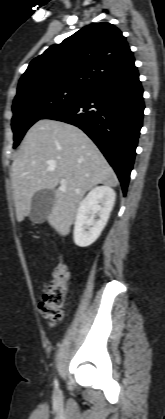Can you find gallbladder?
Segmentation results:
<instances>
[{"instance_id":"obj_1","label":"gallbladder","mask_w":165,"mask_h":419,"mask_svg":"<svg viewBox=\"0 0 165 419\" xmlns=\"http://www.w3.org/2000/svg\"><path fill=\"white\" fill-rule=\"evenodd\" d=\"M55 202L54 192L43 189L36 192L31 201L29 218L33 223H43L51 212Z\"/></svg>"}]
</instances>
